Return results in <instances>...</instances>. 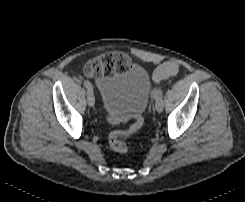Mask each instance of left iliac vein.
Returning <instances> with one entry per match:
<instances>
[{
	"label": "left iliac vein",
	"mask_w": 245,
	"mask_h": 202,
	"mask_svg": "<svg viewBox=\"0 0 245 202\" xmlns=\"http://www.w3.org/2000/svg\"><path fill=\"white\" fill-rule=\"evenodd\" d=\"M155 108H156V111L161 113L164 109V102L162 100H158L156 103H155Z\"/></svg>",
	"instance_id": "left-iliac-vein-1"
}]
</instances>
